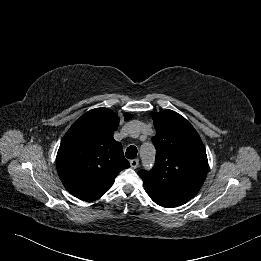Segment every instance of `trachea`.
<instances>
[{
	"label": "trachea",
	"instance_id": "1",
	"mask_svg": "<svg viewBox=\"0 0 261 261\" xmlns=\"http://www.w3.org/2000/svg\"><path fill=\"white\" fill-rule=\"evenodd\" d=\"M125 156L128 159H135L137 156V148L133 145L129 146L126 150Z\"/></svg>",
	"mask_w": 261,
	"mask_h": 261
}]
</instances>
